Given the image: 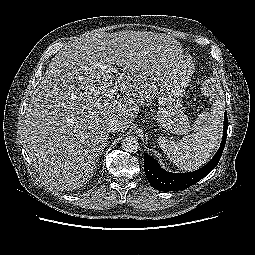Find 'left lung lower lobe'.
Wrapping results in <instances>:
<instances>
[{
    "label": "left lung lower lobe",
    "mask_w": 255,
    "mask_h": 255,
    "mask_svg": "<svg viewBox=\"0 0 255 255\" xmlns=\"http://www.w3.org/2000/svg\"><path fill=\"white\" fill-rule=\"evenodd\" d=\"M228 129L227 114H224V130L221 145L214 157L202 168L187 173H170L152 156L144 153L145 174L153 188L160 191L184 190L207 176L218 164L225 147Z\"/></svg>",
    "instance_id": "1"
}]
</instances>
